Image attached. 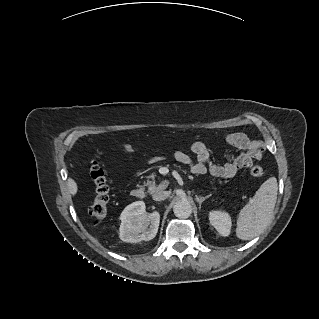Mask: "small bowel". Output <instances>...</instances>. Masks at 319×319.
<instances>
[{
    "instance_id": "c3829d8e",
    "label": "small bowel",
    "mask_w": 319,
    "mask_h": 319,
    "mask_svg": "<svg viewBox=\"0 0 319 319\" xmlns=\"http://www.w3.org/2000/svg\"><path fill=\"white\" fill-rule=\"evenodd\" d=\"M225 143L227 146L237 148L241 152L237 155H231L225 164L218 165L212 162L208 147L200 141L194 142L191 151L195 158L183 151H177L174 154L175 159L181 164L190 167L194 174H203L209 171L217 178H233L239 169L249 168L255 160L262 157L263 148L261 144L247 135L241 133L230 134ZM127 153L135 152V148L128 145H121Z\"/></svg>"
}]
</instances>
